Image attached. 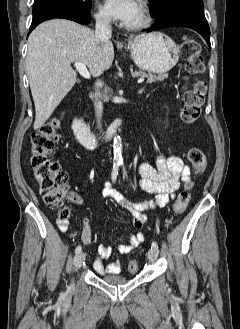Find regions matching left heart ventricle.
<instances>
[{
    "instance_id": "1",
    "label": "left heart ventricle",
    "mask_w": 240,
    "mask_h": 329,
    "mask_svg": "<svg viewBox=\"0 0 240 329\" xmlns=\"http://www.w3.org/2000/svg\"><path fill=\"white\" fill-rule=\"evenodd\" d=\"M140 16H141V13H140V9L138 7V11H137L136 15L130 21H128L127 23L128 24L136 23L137 21H139Z\"/></svg>"
}]
</instances>
